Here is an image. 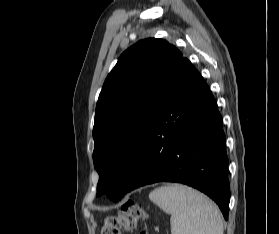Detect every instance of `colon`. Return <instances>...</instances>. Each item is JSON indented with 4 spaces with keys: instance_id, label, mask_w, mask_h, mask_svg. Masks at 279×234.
I'll use <instances>...</instances> for the list:
<instances>
[{
    "instance_id": "colon-1",
    "label": "colon",
    "mask_w": 279,
    "mask_h": 234,
    "mask_svg": "<svg viewBox=\"0 0 279 234\" xmlns=\"http://www.w3.org/2000/svg\"><path fill=\"white\" fill-rule=\"evenodd\" d=\"M144 218V209L135 201H127L117 214L105 217L101 234H121V231H132ZM140 234H146V232L141 231Z\"/></svg>"
}]
</instances>
